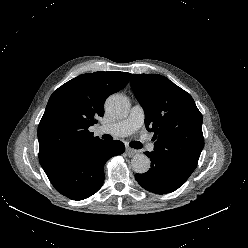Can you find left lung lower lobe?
<instances>
[{
    "label": "left lung lower lobe",
    "instance_id": "obj_1",
    "mask_svg": "<svg viewBox=\"0 0 248 248\" xmlns=\"http://www.w3.org/2000/svg\"><path fill=\"white\" fill-rule=\"evenodd\" d=\"M151 160V168L144 174H135L138 183L146 190L165 194L178 189L188 179L174 168L160 161L151 152H145Z\"/></svg>",
    "mask_w": 248,
    "mask_h": 248
}]
</instances>
